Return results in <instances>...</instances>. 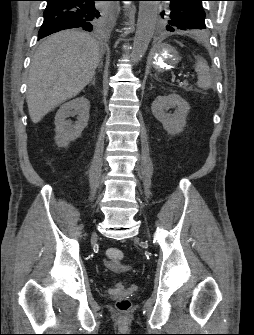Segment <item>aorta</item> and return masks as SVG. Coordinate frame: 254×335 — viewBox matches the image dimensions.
<instances>
[{"label": "aorta", "mask_w": 254, "mask_h": 335, "mask_svg": "<svg viewBox=\"0 0 254 335\" xmlns=\"http://www.w3.org/2000/svg\"><path fill=\"white\" fill-rule=\"evenodd\" d=\"M158 3L156 1H140L136 32L134 36L131 60L138 63L144 56L153 37Z\"/></svg>", "instance_id": "1"}]
</instances>
